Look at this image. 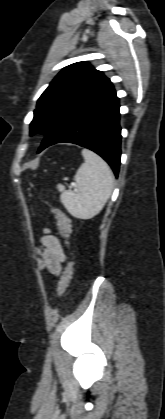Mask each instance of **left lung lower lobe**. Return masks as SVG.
<instances>
[{
    "mask_svg": "<svg viewBox=\"0 0 165 419\" xmlns=\"http://www.w3.org/2000/svg\"><path fill=\"white\" fill-rule=\"evenodd\" d=\"M119 99L111 84L72 109L39 147L38 153L56 143H74L104 158L118 176L121 128Z\"/></svg>",
    "mask_w": 165,
    "mask_h": 419,
    "instance_id": "obj_1",
    "label": "left lung lower lobe"
}]
</instances>
